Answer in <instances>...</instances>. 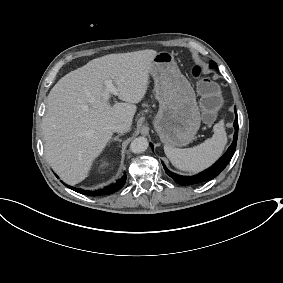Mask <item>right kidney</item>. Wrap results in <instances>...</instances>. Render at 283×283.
Instances as JSON below:
<instances>
[{
	"instance_id": "right-kidney-1",
	"label": "right kidney",
	"mask_w": 283,
	"mask_h": 283,
	"mask_svg": "<svg viewBox=\"0 0 283 283\" xmlns=\"http://www.w3.org/2000/svg\"><path fill=\"white\" fill-rule=\"evenodd\" d=\"M107 165H108V162L102 161L101 164H100V168H103V167H105Z\"/></svg>"
}]
</instances>
